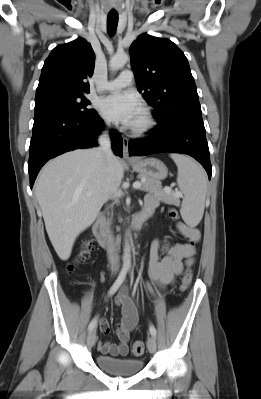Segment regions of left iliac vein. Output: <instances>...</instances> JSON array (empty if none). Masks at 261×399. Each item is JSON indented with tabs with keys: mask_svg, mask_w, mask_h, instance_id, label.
Here are the masks:
<instances>
[{
	"mask_svg": "<svg viewBox=\"0 0 261 399\" xmlns=\"http://www.w3.org/2000/svg\"><path fill=\"white\" fill-rule=\"evenodd\" d=\"M147 347L150 353L154 354L156 352L157 344L154 336L148 338Z\"/></svg>",
	"mask_w": 261,
	"mask_h": 399,
	"instance_id": "obj_1",
	"label": "left iliac vein"
}]
</instances>
